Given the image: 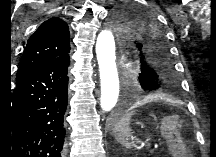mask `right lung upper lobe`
<instances>
[{"label": "right lung upper lobe", "mask_w": 216, "mask_h": 157, "mask_svg": "<svg viewBox=\"0 0 216 157\" xmlns=\"http://www.w3.org/2000/svg\"><path fill=\"white\" fill-rule=\"evenodd\" d=\"M70 52V33L66 22L58 17L43 22L29 38L19 64L16 80Z\"/></svg>", "instance_id": "cb5924a9"}]
</instances>
